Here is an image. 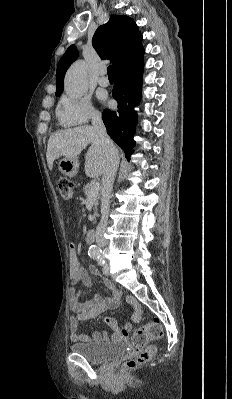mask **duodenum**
Returning a JSON list of instances; mask_svg holds the SVG:
<instances>
[{
    "label": "duodenum",
    "mask_w": 232,
    "mask_h": 399,
    "mask_svg": "<svg viewBox=\"0 0 232 399\" xmlns=\"http://www.w3.org/2000/svg\"><path fill=\"white\" fill-rule=\"evenodd\" d=\"M96 239V231L94 229H88L86 231V240L88 243H93Z\"/></svg>",
    "instance_id": "1"
}]
</instances>
